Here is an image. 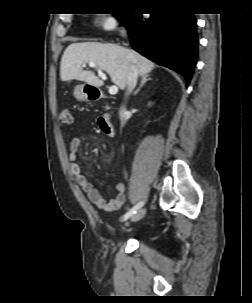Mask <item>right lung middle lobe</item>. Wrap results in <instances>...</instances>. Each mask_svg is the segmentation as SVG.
<instances>
[{
	"mask_svg": "<svg viewBox=\"0 0 252 303\" xmlns=\"http://www.w3.org/2000/svg\"><path fill=\"white\" fill-rule=\"evenodd\" d=\"M127 14H114L118 19H123Z\"/></svg>",
	"mask_w": 252,
	"mask_h": 303,
	"instance_id": "obj_1",
	"label": "right lung middle lobe"
}]
</instances>
